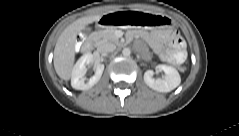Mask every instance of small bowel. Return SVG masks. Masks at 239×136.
Instances as JSON below:
<instances>
[{
  "label": "small bowel",
  "instance_id": "obj_1",
  "mask_svg": "<svg viewBox=\"0 0 239 136\" xmlns=\"http://www.w3.org/2000/svg\"><path fill=\"white\" fill-rule=\"evenodd\" d=\"M170 37L173 39L174 52L171 55L163 54L162 57L165 61L180 63L185 58L184 41L175 32L170 33ZM137 46L141 47L139 43Z\"/></svg>",
  "mask_w": 239,
  "mask_h": 136
}]
</instances>
